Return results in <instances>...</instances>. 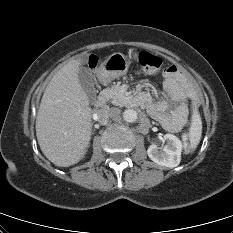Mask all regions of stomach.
I'll use <instances>...</instances> for the list:
<instances>
[{
	"mask_svg": "<svg viewBox=\"0 0 233 233\" xmlns=\"http://www.w3.org/2000/svg\"><path fill=\"white\" fill-rule=\"evenodd\" d=\"M130 60L122 53H113L102 64L98 77L102 82H108L127 73Z\"/></svg>",
	"mask_w": 233,
	"mask_h": 233,
	"instance_id": "1",
	"label": "stomach"
}]
</instances>
